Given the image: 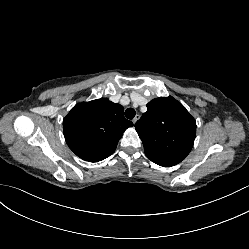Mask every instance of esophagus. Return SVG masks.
Listing matches in <instances>:
<instances>
[{
	"label": "esophagus",
	"mask_w": 249,
	"mask_h": 249,
	"mask_svg": "<svg viewBox=\"0 0 249 249\" xmlns=\"http://www.w3.org/2000/svg\"><path fill=\"white\" fill-rule=\"evenodd\" d=\"M140 119V115H136L132 122L135 124Z\"/></svg>",
	"instance_id": "34e87169"
}]
</instances>
